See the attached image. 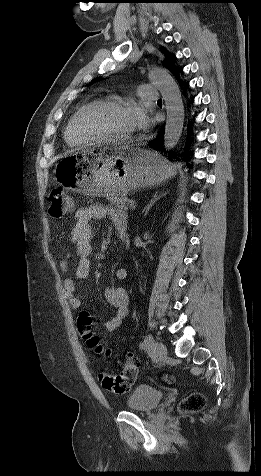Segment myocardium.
<instances>
[{
  "label": "myocardium",
  "instance_id": "myocardium-1",
  "mask_svg": "<svg viewBox=\"0 0 261 476\" xmlns=\"http://www.w3.org/2000/svg\"><path fill=\"white\" fill-rule=\"evenodd\" d=\"M133 106H135L134 103L124 99H96L79 109L75 118V129L78 135L87 142L127 141L131 138V133L126 135H115L111 133L90 132L85 128L84 119L89 112L97 108Z\"/></svg>",
  "mask_w": 261,
  "mask_h": 476
}]
</instances>
